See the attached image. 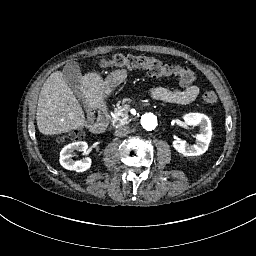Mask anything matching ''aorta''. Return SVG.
Returning <instances> with one entry per match:
<instances>
[{
  "mask_svg": "<svg viewBox=\"0 0 256 256\" xmlns=\"http://www.w3.org/2000/svg\"><path fill=\"white\" fill-rule=\"evenodd\" d=\"M141 127L145 131H152L156 127V117L152 113H145L141 117Z\"/></svg>",
  "mask_w": 256,
  "mask_h": 256,
  "instance_id": "obj_1",
  "label": "aorta"
}]
</instances>
